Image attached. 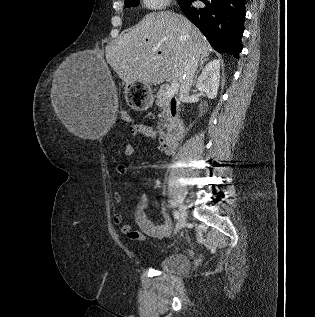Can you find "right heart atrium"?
Returning a JSON list of instances; mask_svg holds the SVG:
<instances>
[{"label":"right heart atrium","mask_w":315,"mask_h":317,"mask_svg":"<svg viewBox=\"0 0 315 317\" xmlns=\"http://www.w3.org/2000/svg\"><path fill=\"white\" fill-rule=\"evenodd\" d=\"M171 0H142L143 5L149 10H160L167 7Z\"/></svg>","instance_id":"1"}]
</instances>
